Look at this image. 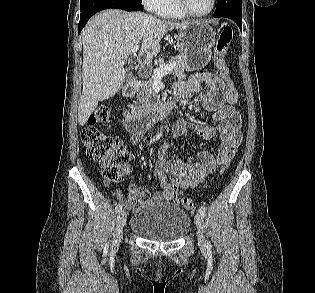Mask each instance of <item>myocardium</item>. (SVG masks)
<instances>
[{"instance_id":"1","label":"myocardium","mask_w":315,"mask_h":293,"mask_svg":"<svg viewBox=\"0 0 315 293\" xmlns=\"http://www.w3.org/2000/svg\"><path fill=\"white\" fill-rule=\"evenodd\" d=\"M178 1V5L181 8V10L190 17H196V18H202V17H206L209 14H211L213 12V10L215 9L216 6V0H211V6L210 8L204 12V13H195L193 12L188 4V0H177Z\"/></svg>"}]
</instances>
